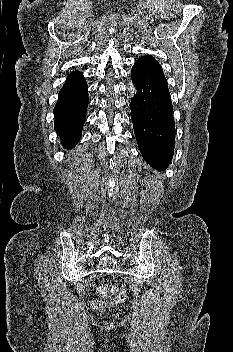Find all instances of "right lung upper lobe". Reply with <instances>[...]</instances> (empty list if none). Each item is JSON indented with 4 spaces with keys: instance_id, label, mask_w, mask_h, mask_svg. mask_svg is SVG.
Segmentation results:
<instances>
[{
    "instance_id": "cb5924a9",
    "label": "right lung upper lobe",
    "mask_w": 233,
    "mask_h": 352,
    "mask_svg": "<svg viewBox=\"0 0 233 352\" xmlns=\"http://www.w3.org/2000/svg\"><path fill=\"white\" fill-rule=\"evenodd\" d=\"M76 73H78V71H74V72L70 73L69 76L73 75V74H76Z\"/></svg>"
}]
</instances>
